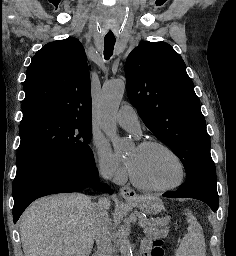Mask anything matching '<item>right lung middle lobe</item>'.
I'll return each mask as SVG.
<instances>
[{"instance_id":"right-lung-middle-lobe-1","label":"right lung middle lobe","mask_w":236,"mask_h":256,"mask_svg":"<svg viewBox=\"0 0 236 256\" xmlns=\"http://www.w3.org/2000/svg\"><path fill=\"white\" fill-rule=\"evenodd\" d=\"M17 170L44 159L75 158L93 161L89 143L91 121L40 114L22 119Z\"/></svg>"}]
</instances>
